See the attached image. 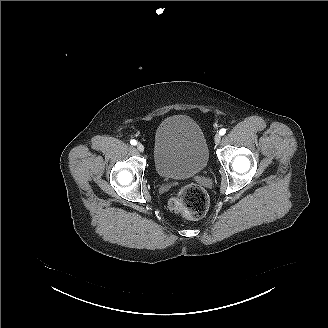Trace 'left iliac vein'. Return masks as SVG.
Masks as SVG:
<instances>
[{"label": "left iliac vein", "instance_id": "obj_1", "mask_svg": "<svg viewBox=\"0 0 328 328\" xmlns=\"http://www.w3.org/2000/svg\"><path fill=\"white\" fill-rule=\"evenodd\" d=\"M221 141V136L219 134L214 135V142L216 145H218Z\"/></svg>", "mask_w": 328, "mask_h": 328}]
</instances>
